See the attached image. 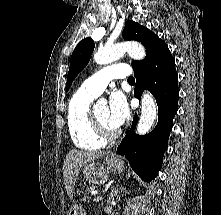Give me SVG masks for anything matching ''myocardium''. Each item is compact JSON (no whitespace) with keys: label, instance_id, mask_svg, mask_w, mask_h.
<instances>
[{"label":"myocardium","instance_id":"f54148a6","mask_svg":"<svg viewBox=\"0 0 221 215\" xmlns=\"http://www.w3.org/2000/svg\"><path fill=\"white\" fill-rule=\"evenodd\" d=\"M91 121L97 134L104 140H113L118 137L120 131L118 129L107 128L97 117L95 109H90Z\"/></svg>","mask_w":221,"mask_h":215}]
</instances>
